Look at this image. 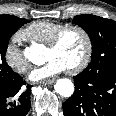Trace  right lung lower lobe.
Segmentation results:
<instances>
[{"mask_svg": "<svg viewBox=\"0 0 116 116\" xmlns=\"http://www.w3.org/2000/svg\"><path fill=\"white\" fill-rule=\"evenodd\" d=\"M18 75L12 82L0 84V116H26L31 107V85Z\"/></svg>", "mask_w": 116, "mask_h": 116, "instance_id": "98d812e1", "label": "right lung lower lobe"}]
</instances>
